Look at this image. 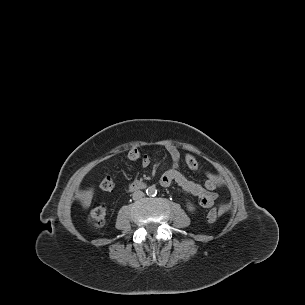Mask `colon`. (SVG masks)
<instances>
[{
	"label": "colon",
	"mask_w": 305,
	"mask_h": 305,
	"mask_svg": "<svg viewBox=\"0 0 305 305\" xmlns=\"http://www.w3.org/2000/svg\"><path fill=\"white\" fill-rule=\"evenodd\" d=\"M143 156L141 148L137 145L131 146L127 152L126 157L130 161H140ZM100 188L103 191H110L114 188V181L111 177H105L101 183ZM107 208L104 204L98 205L93 208L89 214V222L94 227H101L106 222ZM207 218L210 222H215L219 218V211L216 208L208 212Z\"/></svg>",
	"instance_id": "5ec220e1"
}]
</instances>
